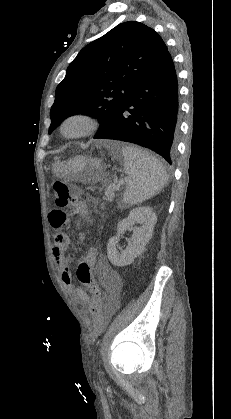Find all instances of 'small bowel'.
<instances>
[{"label": "small bowel", "mask_w": 231, "mask_h": 419, "mask_svg": "<svg viewBox=\"0 0 231 419\" xmlns=\"http://www.w3.org/2000/svg\"><path fill=\"white\" fill-rule=\"evenodd\" d=\"M49 221L51 225L57 228L59 233L54 235L52 254L55 260V264L60 271L61 281L65 288L73 293L75 298L80 304H88L86 302V297L89 295L82 288L75 287L72 282V273L70 269L71 258L67 256L66 251L70 245L69 236L66 233L69 230V215L63 211L56 210L52 211L49 214ZM58 223V225H56ZM84 240V236H82ZM93 268L95 267V272L101 280L103 287L106 292V305H107V315H112L116 308L118 307V288L119 280L114 277L110 269L105 264V259L103 256H96Z\"/></svg>", "instance_id": "small-bowel-1"}]
</instances>
